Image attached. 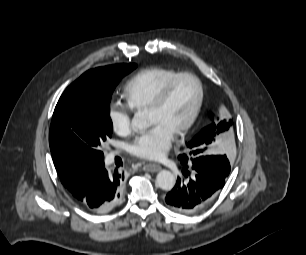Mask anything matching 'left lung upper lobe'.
<instances>
[{"mask_svg":"<svg viewBox=\"0 0 306 255\" xmlns=\"http://www.w3.org/2000/svg\"><path fill=\"white\" fill-rule=\"evenodd\" d=\"M231 124V121H229V123L220 121L218 124L212 121L210 125L202 129L201 132L187 144V154L179 155L178 158H180V156H186L190 158V160L195 159V161L199 163H204L228 175L230 173V164L226 155L209 156L205 154L209 145L215 142L217 135L228 130Z\"/></svg>","mask_w":306,"mask_h":255,"instance_id":"1","label":"left lung upper lobe"}]
</instances>
